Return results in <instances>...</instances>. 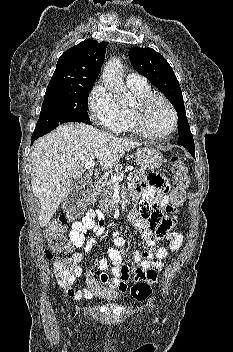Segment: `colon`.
<instances>
[{
	"label": "colon",
	"instance_id": "obj_1",
	"mask_svg": "<svg viewBox=\"0 0 233 352\" xmlns=\"http://www.w3.org/2000/svg\"><path fill=\"white\" fill-rule=\"evenodd\" d=\"M171 166L173 189L170 194L169 205L176 208L185 201L190 178L185 163L180 156L174 155L171 158ZM90 199V194L84 195L80 202L70 207L65 214L61 215L57 221L49 224L44 231L48 243L46 257L53 261L54 273L59 281L66 280L73 273L71 264L66 259L57 256L58 254L69 253L72 250L71 244L64 236L65 225L81 217L85 210L86 202ZM157 278V271L149 270L145 279L135 283L131 288V296L138 301L148 298L153 284L157 282ZM106 279L107 277L103 276L97 269H90L86 273V288L93 297L107 300L117 299L123 291L108 286Z\"/></svg>",
	"mask_w": 233,
	"mask_h": 352
}]
</instances>
